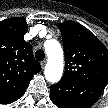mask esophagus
I'll use <instances>...</instances> for the list:
<instances>
[{"label": "esophagus", "instance_id": "obj_1", "mask_svg": "<svg viewBox=\"0 0 108 108\" xmlns=\"http://www.w3.org/2000/svg\"><path fill=\"white\" fill-rule=\"evenodd\" d=\"M45 66H46V61H42V62H41V67H42V68H45Z\"/></svg>", "mask_w": 108, "mask_h": 108}]
</instances>
